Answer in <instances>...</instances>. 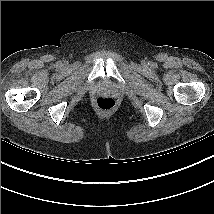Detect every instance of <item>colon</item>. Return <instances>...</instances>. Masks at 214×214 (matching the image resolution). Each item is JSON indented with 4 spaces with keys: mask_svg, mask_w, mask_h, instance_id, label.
<instances>
[{
    "mask_svg": "<svg viewBox=\"0 0 214 214\" xmlns=\"http://www.w3.org/2000/svg\"><path fill=\"white\" fill-rule=\"evenodd\" d=\"M115 104V100L111 97H99L96 100L97 107L103 112L112 110L115 107Z\"/></svg>",
    "mask_w": 214,
    "mask_h": 214,
    "instance_id": "obj_1",
    "label": "colon"
}]
</instances>
